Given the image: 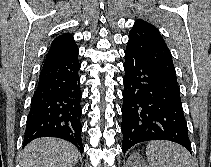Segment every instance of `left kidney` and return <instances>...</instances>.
<instances>
[{"label":"left kidney","mask_w":211,"mask_h":167,"mask_svg":"<svg viewBox=\"0 0 211 167\" xmlns=\"http://www.w3.org/2000/svg\"><path fill=\"white\" fill-rule=\"evenodd\" d=\"M126 167H149L139 154H132L126 163Z\"/></svg>","instance_id":"left-kidney-1"}]
</instances>
